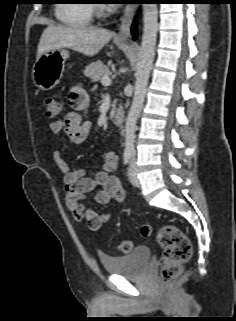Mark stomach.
Returning <instances> with one entry per match:
<instances>
[{"label": "stomach", "mask_w": 236, "mask_h": 321, "mask_svg": "<svg viewBox=\"0 0 236 321\" xmlns=\"http://www.w3.org/2000/svg\"><path fill=\"white\" fill-rule=\"evenodd\" d=\"M69 51L65 48L51 49L42 54L33 65V81L39 89H53L62 78Z\"/></svg>", "instance_id": "0dacf381"}]
</instances>
